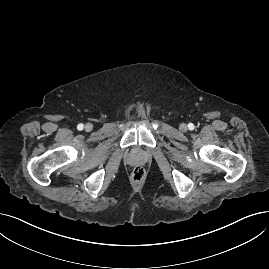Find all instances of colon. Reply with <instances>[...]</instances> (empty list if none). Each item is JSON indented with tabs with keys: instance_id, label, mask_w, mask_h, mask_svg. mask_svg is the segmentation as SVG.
<instances>
[{
	"instance_id": "1",
	"label": "colon",
	"mask_w": 269,
	"mask_h": 269,
	"mask_svg": "<svg viewBox=\"0 0 269 269\" xmlns=\"http://www.w3.org/2000/svg\"><path fill=\"white\" fill-rule=\"evenodd\" d=\"M145 177V169L142 166H136L132 170V178L135 181H141Z\"/></svg>"
}]
</instances>
